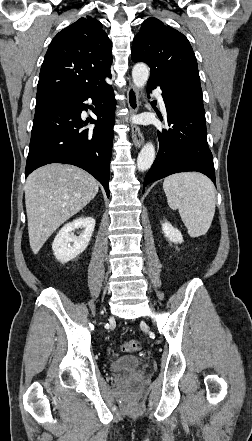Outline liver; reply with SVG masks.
<instances>
[{"label":"liver","mask_w":252,"mask_h":441,"mask_svg":"<svg viewBox=\"0 0 252 441\" xmlns=\"http://www.w3.org/2000/svg\"><path fill=\"white\" fill-rule=\"evenodd\" d=\"M97 180L73 165L53 163L32 172L25 184V204L31 250L37 254L65 221L98 193Z\"/></svg>","instance_id":"6515ba94"}]
</instances>
